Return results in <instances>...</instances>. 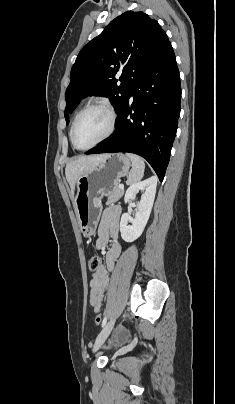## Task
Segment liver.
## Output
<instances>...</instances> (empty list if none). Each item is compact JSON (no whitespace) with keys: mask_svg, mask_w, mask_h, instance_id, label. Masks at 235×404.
Here are the masks:
<instances>
[{"mask_svg":"<svg viewBox=\"0 0 235 404\" xmlns=\"http://www.w3.org/2000/svg\"><path fill=\"white\" fill-rule=\"evenodd\" d=\"M107 154L81 156L69 162L65 168L66 179L71 188V196L73 197L75 185L78 179L89 172L94 166L101 162Z\"/></svg>","mask_w":235,"mask_h":404,"instance_id":"obj_1","label":"liver"}]
</instances>
